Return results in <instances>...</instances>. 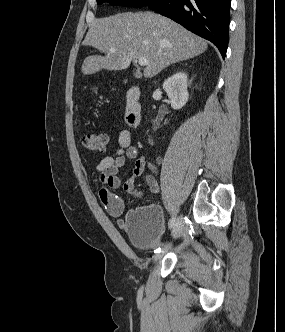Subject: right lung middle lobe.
<instances>
[{
  "label": "right lung middle lobe",
  "mask_w": 285,
  "mask_h": 332,
  "mask_svg": "<svg viewBox=\"0 0 285 332\" xmlns=\"http://www.w3.org/2000/svg\"><path fill=\"white\" fill-rule=\"evenodd\" d=\"M153 0H97L98 4L110 2L112 5L143 7L151 3Z\"/></svg>",
  "instance_id": "right-lung-middle-lobe-1"
}]
</instances>
